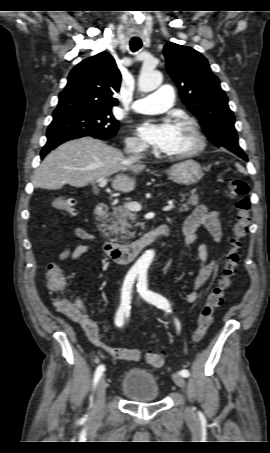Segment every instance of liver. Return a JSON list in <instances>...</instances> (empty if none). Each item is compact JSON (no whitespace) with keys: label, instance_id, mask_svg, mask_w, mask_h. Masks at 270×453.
<instances>
[{"label":"liver","instance_id":"obj_1","mask_svg":"<svg viewBox=\"0 0 270 453\" xmlns=\"http://www.w3.org/2000/svg\"><path fill=\"white\" fill-rule=\"evenodd\" d=\"M145 165L126 159L121 151L101 140L83 137L63 143L50 152L35 171L36 188L58 190L65 184L84 187L96 180L119 173L112 181V188L131 192L135 178L123 172L140 173Z\"/></svg>","mask_w":270,"mask_h":453}]
</instances>
